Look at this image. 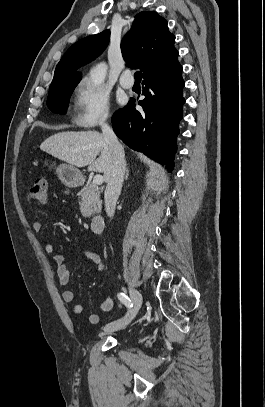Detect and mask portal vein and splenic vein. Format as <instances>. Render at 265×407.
Listing matches in <instances>:
<instances>
[{
  "label": "portal vein and splenic vein",
  "mask_w": 265,
  "mask_h": 407,
  "mask_svg": "<svg viewBox=\"0 0 265 407\" xmlns=\"http://www.w3.org/2000/svg\"><path fill=\"white\" fill-rule=\"evenodd\" d=\"M93 183L96 185H101L103 183V176L100 174H97L93 178Z\"/></svg>",
  "instance_id": "portal-vein-and-splenic-vein-1"
}]
</instances>
